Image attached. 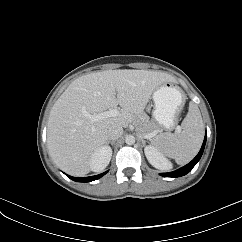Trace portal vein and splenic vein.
<instances>
[{
  "mask_svg": "<svg viewBox=\"0 0 242 242\" xmlns=\"http://www.w3.org/2000/svg\"><path fill=\"white\" fill-rule=\"evenodd\" d=\"M83 115L88 117L90 119L91 122H96L105 118H109V117H117L119 115V111L118 109L114 108V109H110L108 111L102 112V113H98L95 115H92L90 113H88L87 111H83ZM176 130L178 132L181 131V127L177 126ZM145 138H151L153 137V135H145Z\"/></svg>",
  "mask_w": 242,
  "mask_h": 242,
  "instance_id": "18ae733b",
  "label": "portal vein and splenic vein"
}]
</instances>
